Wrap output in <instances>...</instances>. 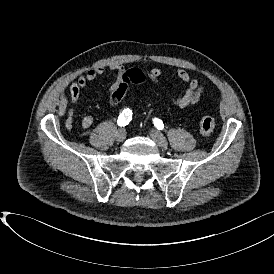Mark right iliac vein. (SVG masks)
<instances>
[{"mask_svg":"<svg viewBox=\"0 0 274 274\" xmlns=\"http://www.w3.org/2000/svg\"><path fill=\"white\" fill-rule=\"evenodd\" d=\"M126 138V131L124 129H120L116 134V140L118 142H123Z\"/></svg>","mask_w":274,"mask_h":274,"instance_id":"obj_1","label":"right iliac vein"}]
</instances>
